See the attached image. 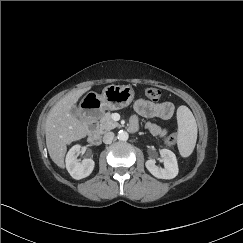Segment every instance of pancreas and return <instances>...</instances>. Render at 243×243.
Listing matches in <instances>:
<instances>
[{
    "instance_id": "pancreas-1",
    "label": "pancreas",
    "mask_w": 243,
    "mask_h": 243,
    "mask_svg": "<svg viewBox=\"0 0 243 243\" xmlns=\"http://www.w3.org/2000/svg\"><path fill=\"white\" fill-rule=\"evenodd\" d=\"M118 126H120L119 123L112 119V115L110 112H107L99 121L100 133L110 131Z\"/></svg>"
}]
</instances>
